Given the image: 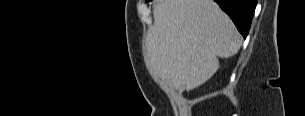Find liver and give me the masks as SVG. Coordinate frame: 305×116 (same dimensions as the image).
<instances>
[{
    "label": "liver",
    "mask_w": 305,
    "mask_h": 116,
    "mask_svg": "<svg viewBox=\"0 0 305 116\" xmlns=\"http://www.w3.org/2000/svg\"><path fill=\"white\" fill-rule=\"evenodd\" d=\"M148 29V69L187 90L209 80L218 57L235 55L242 40L228 15L213 0H157Z\"/></svg>",
    "instance_id": "liver-1"
}]
</instances>
